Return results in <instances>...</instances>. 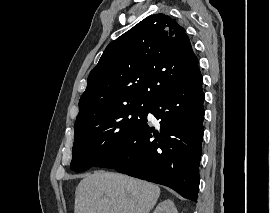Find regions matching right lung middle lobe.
<instances>
[{
  "mask_svg": "<svg viewBox=\"0 0 270 213\" xmlns=\"http://www.w3.org/2000/svg\"><path fill=\"white\" fill-rule=\"evenodd\" d=\"M151 105L131 103L75 123L71 170L82 172L97 166L146 123Z\"/></svg>",
  "mask_w": 270,
  "mask_h": 213,
  "instance_id": "1",
  "label": "right lung middle lobe"
}]
</instances>
